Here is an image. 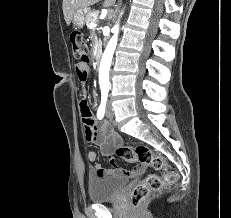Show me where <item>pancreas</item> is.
Instances as JSON below:
<instances>
[{"label":"pancreas","instance_id":"pancreas-1","mask_svg":"<svg viewBox=\"0 0 231 218\" xmlns=\"http://www.w3.org/2000/svg\"><path fill=\"white\" fill-rule=\"evenodd\" d=\"M98 15H99V11H89L86 15V25L88 28H90V23L92 22H96L97 21V18H98Z\"/></svg>","mask_w":231,"mask_h":218}]
</instances>
